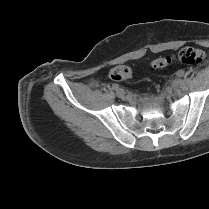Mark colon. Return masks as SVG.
<instances>
[{
    "mask_svg": "<svg viewBox=\"0 0 209 209\" xmlns=\"http://www.w3.org/2000/svg\"><path fill=\"white\" fill-rule=\"evenodd\" d=\"M205 59V52L199 48L185 47L173 56L159 57L151 62L154 69H163L173 61H178L185 65H200ZM132 72L128 66H117L110 72V77L114 81H124L131 78Z\"/></svg>",
    "mask_w": 209,
    "mask_h": 209,
    "instance_id": "obj_1",
    "label": "colon"
}]
</instances>
